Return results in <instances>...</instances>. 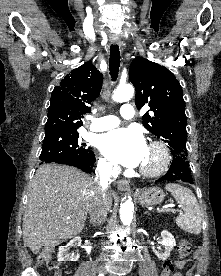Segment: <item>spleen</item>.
Listing matches in <instances>:
<instances>
[{
    "instance_id": "obj_1",
    "label": "spleen",
    "mask_w": 221,
    "mask_h": 276,
    "mask_svg": "<svg viewBox=\"0 0 221 276\" xmlns=\"http://www.w3.org/2000/svg\"><path fill=\"white\" fill-rule=\"evenodd\" d=\"M165 189L183 207L184 214L176 218L178 227L190 234H199L202 228V214L193 192L189 188L175 183L167 184Z\"/></svg>"
}]
</instances>
